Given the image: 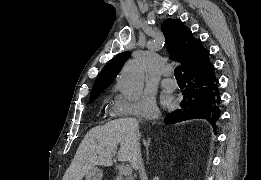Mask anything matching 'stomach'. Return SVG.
Returning a JSON list of instances; mask_svg holds the SVG:
<instances>
[{
  "label": "stomach",
  "instance_id": "obj_1",
  "mask_svg": "<svg viewBox=\"0 0 261 180\" xmlns=\"http://www.w3.org/2000/svg\"><path fill=\"white\" fill-rule=\"evenodd\" d=\"M103 171L98 167H93L86 173L85 180H102Z\"/></svg>",
  "mask_w": 261,
  "mask_h": 180
}]
</instances>
